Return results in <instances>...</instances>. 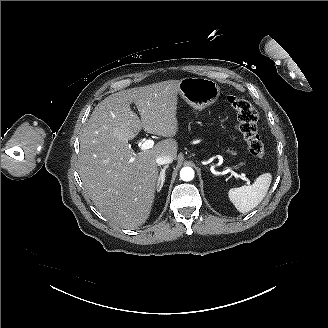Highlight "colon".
<instances>
[{"instance_id":"colon-1","label":"colon","mask_w":328,"mask_h":328,"mask_svg":"<svg viewBox=\"0 0 328 328\" xmlns=\"http://www.w3.org/2000/svg\"><path fill=\"white\" fill-rule=\"evenodd\" d=\"M227 101L235 110L238 128L246 141L249 152L260 159L266 155L264 144L258 134V114L253 105L246 99L229 95Z\"/></svg>"}]
</instances>
